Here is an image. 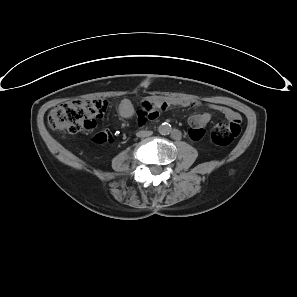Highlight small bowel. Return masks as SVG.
I'll list each match as a JSON object with an SVG mask.
<instances>
[{"instance_id": "1", "label": "small bowel", "mask_w": 297, "mask_h": 297, "mask_svg": "<svg viewBox=\"0 0 297 297\" xmlns=\"http://www.w3.org/2000/svg\"><path fill=\"white\" fill-rule=\"evenodd\" d=\"M170 105H178L182 107L196 106L197 102L182 100V99H171V100H155V101H144L142 103L141 110L138 113V120L141 125H144L148 120H153L158 117L159 111L165 110ZM212 108L221 114H223L228 120H232L235 117L239 116L232 109L221 106V105H212ZM118 112L121 117L128 119L131 118L135 109L133 104L124 99L118 106ZM211 120L210 113H198L194 114L189 118V123L192 126V129L189 131V136L193 140H199L204 134V127Z\"/></svg>"}]
</instances>
